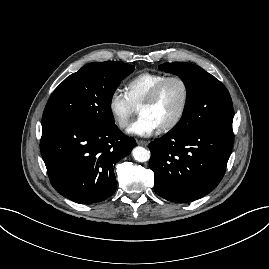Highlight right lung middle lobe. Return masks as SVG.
<instances>
[{
	"mask_svg": "<svg viewBox=\"0 0 269 269\" xmlns=\"http://www.w3.org/2000/svg\"><path fill=\"white\" fill-rule=\"evenodd\" d=\"M133 70L134 66L119 61L85 65L54 90L44 109L42 124L70 120L97 128L113 126L112 96L120 81Z\"/></svg>",
	"mask_w": 269,
	"mask_h": 269,
	"instance_id": "right-lung-middle-lobe-1",
	"label": "right lung middle lobe"
}]
</instances>
